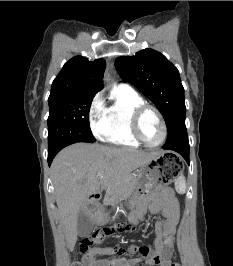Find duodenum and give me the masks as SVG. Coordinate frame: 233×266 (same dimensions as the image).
Segmentation results:
<instances>
[{
  "mask_svg": "<svg viewBox=\"0 0 233 266\" xmlns=\"http://www.w3.org/2000/svg\"><path fill=\"white\" fill-rule=\"evenodd\" d=\"M101 198V193L100 192H94L92 195H91V201L93 203H97Z\"/></svg>",
  "mask_w": 233,
  "mask_h": 266,
  "instance_id": "410a0bca",
  "label": "duodenum"
}]
</instances>
